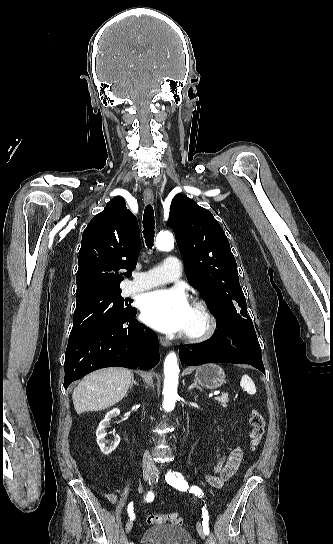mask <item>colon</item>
<instances>
[{
    "label": "colon",
    "instance_id": "1",
    "mask_svg": "<svg viewBox=\"0 0 333 544\" xmlns=\"http://www.w3.org/2000/svg\"><path fill=\"white\" fill-rule=\"evenodd\" d=\"M250 423V443L253 450H256L260 445L265 432V420L262 414L252 409L249 416ZM146 523L149 525L170 523L173 525H181L183 523L182 518L177 512H171L166 514H150L146 518Z\"/></svg>",
    "mask_w": 333,
    "mask_h": 544
}]
</instances>
